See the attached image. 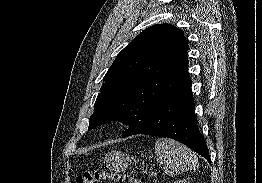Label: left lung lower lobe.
<instances>
[{
    "mask_svg": "<svg viewBox=\"0 0 262 183\" xmlns=\"http://www.w3.org/2000/svg\"><path fill=\"white\" fill-rule=\"evenodd\" d=\"M191 86L192 81L188 74L171 96L156 109L148 124L136 134L172 138L210 163L205 140L197 125Z\"/></svg>",
    "mask_w": 262,
    "mask_h": 183,
    "instance_id": "1",
    "label": "left lung lower lobe"
}]
</instances>
